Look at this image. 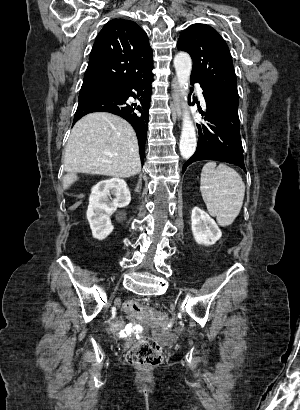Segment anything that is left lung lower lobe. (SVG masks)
Here are the masks:
<instances>
[{
    "mask_svg": "<svg viewBox=\"0 0 300 410\" xmlns=\"http://www.w3.org/2000/svg\"><path fill=\"white\" fill-rule=\"evenodd\" d=\"M198 80L191 78V83ZM201 85V83H200ZM207 112L200 111L207 126L198 125L199 139L195 154L184 164L182 172L188 165L200 160L224 161L239 166L244 171L243 148L239 132L238 104H235L213 91L205 88Z\"/></svg>",
    "mask_w": 300,
    "mask_h": 410,
    "instance_id": "left-lung-lower-lobe-1",
    "label": "left lung lower lobe"
}]
</instances>
